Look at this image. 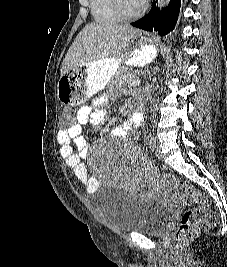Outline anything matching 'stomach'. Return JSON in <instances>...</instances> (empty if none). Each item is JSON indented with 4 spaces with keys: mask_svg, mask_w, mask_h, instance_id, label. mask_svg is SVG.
Returning <instances> with one entry per match:
<instances>
[{
    "mask_svg": "<svg viewBox=\"0 0 227 267\" xmlns=\"http://www.w3.org/2000/svg\"><path fill=\"white\" fill-rule=\"evenodd\" d=\"M155 55V47L139 43L138 48H127L115 57L80 65L59 77L56 101H62L63 107L81 106L87 99H92V94L104 89L122 67L144 66Z\"/></svg>",
    "mask_w": 227,
    "mask_h": 267,
    "instance_id": "0dacf381",
    "label": "stomach"
}]
</instances>
